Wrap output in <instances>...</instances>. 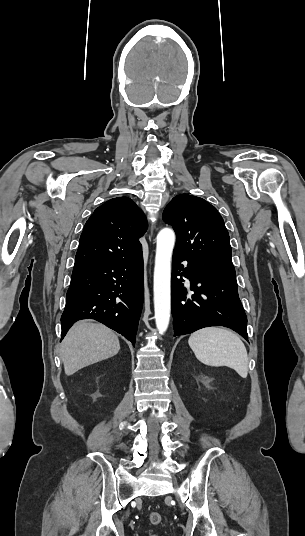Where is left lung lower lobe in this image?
Listing matches in <instances>:
<instances>
[{
	"label": "left lung lower lobe",
	"instance_id": "1",
	"mask_svg": "<svg viewBox=\"0 0 305 536\" xmlns=\"http://www.w3.org/2000/svg\"><path fill=\"white\" fill-rule=\"evenodd\" d=\"M185 260L173 253L171 309L174 336L209 326H225L248 341L247 317L238 296L236 274L205 269L189 261L183 268L181 262ZM177 276L190 279L193 293H187L182 283L184 280Z\"/></svg>",
	"mask_w": 305,
	"mask_h": 536
}]
</instances>
